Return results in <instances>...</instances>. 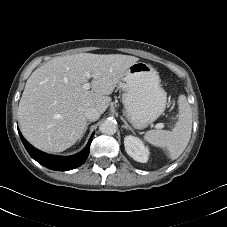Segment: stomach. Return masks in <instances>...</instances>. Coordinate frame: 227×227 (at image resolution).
I'll return each mask as SVG.
<instances>
[{
    "mask_svg": "<svg viewBox=\"0 0 227 227\" xmlns=\"http://www.w3.org/2000/svg\"><path fill=\"white\" fill-rule=\"evenodd\" d=\"M125 115L136 129H144L164 112L167 94L158 72L145 62L132 64L118 82Z\"/></svg>",
    "mask_w": 227,
    "mask_h": 227,
    "instance_id": "1",
    "label": "stomach"
}]
</instances>
